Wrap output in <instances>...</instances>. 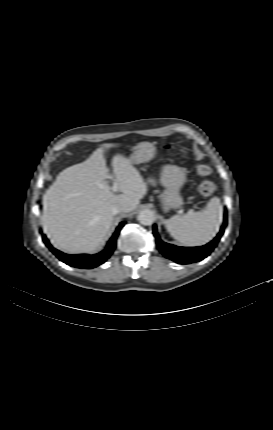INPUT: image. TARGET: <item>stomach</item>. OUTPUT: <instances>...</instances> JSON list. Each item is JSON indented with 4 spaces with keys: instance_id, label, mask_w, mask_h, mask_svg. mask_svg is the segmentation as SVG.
Segmentation results:
<instances>
[{
    "instance_id": "stomach-1",
    "label": "stomach",
    "mask_w": 273,
    "mask_h": 430,
    "mask_svg": "<svg viewBox=\"0 0 273 430\" xmlns=\"http://www.w3.org/2000/svg\"><path fill=\"white\" fill-rule=\"evenodd\" d=\"M156 156V147L150 142H140L132 156L131 164L148 162ZM161 184L165 188L161 196L164 210L179 208L183 204L180 189L186 182V171L179 166L164 165L160 177Z\"/></svg>"
}]
</instances>
